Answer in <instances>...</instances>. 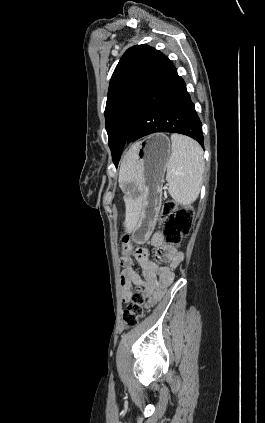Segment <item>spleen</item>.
<instances>
[{"instance_id":"obj_1","label":"spleen","mask_w":265,"mask_h":423,"mask_svg":"<svg viewBox=\"0 0 265 423\" xmlns=\"http://www.w3.org/2000/svg\"><path fill=\"white\" fill-rule=\"evenodd\" d=\"M171 142L166 174L169 194L175 202L188 205L200 193L205 168L203 150L195 140L183 135L172 134Z\"/></svg>"}]
</instances>
